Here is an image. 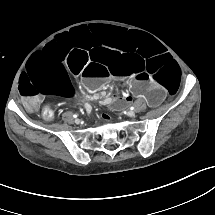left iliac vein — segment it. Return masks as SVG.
<instances>
[{
  "instance_id": "1",
  "label": "left iliac vein",
  "mask_w": 215,
  "mask_h": 215,
  "mask_svg": "<svg viewBox=\"0 0 215 215\" xmlns=\"http://www.w3.org/2000/svg\"><path fill=\"white\" fill-rule=\"evenodd\" d=\"M126 114H127V116H129V117H135V112L132 111V110L127 111Z\"/></svg>"
}]
</instances>
